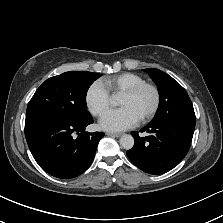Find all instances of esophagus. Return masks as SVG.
<instances>
[{
  "mask_svg": "<svg viewBox=\"0 0 223 223\" xmlns=\"http://www.w3.org/2000/svg\"><path fill=\"white\" fill-rule=\"evenodd\" d=\"M106 135L112 136V137H120L121 136V134H119V133H113V132H106Z\"/></svg>",
  "mask_w": 223,
  "mask_h": 223,
  "instance_id": "34e87169",
  "label": "esophagus"
}]
</instances>
